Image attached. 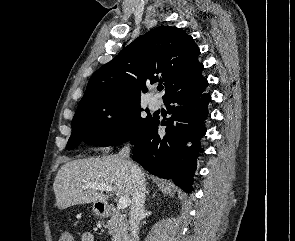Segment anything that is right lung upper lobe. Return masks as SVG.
Wrapping results in <instances>:
<instances>
[{
    "label": "right lung upper lobe",
    "mask_w": 295,
    "mask_h": 241,
    "mask_svg": "<svg viewBox=\"0 0 295 241\" xmlns=\"http://www.w3.org/2000/svg\"><path fill=\"white\" fill-rule=\"evenodd\" d=\"M193 38L177 27H156L126 46L90 78L79 104L107 99L140 102L146 84L165 85L163 100L206 80Z\"/></svg>",
    "instance_id": "1"
}]
</instances>
